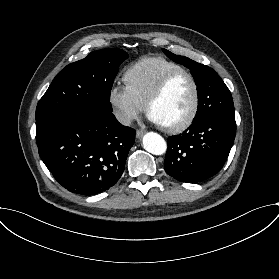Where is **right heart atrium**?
Returning <instances> with one entry per match:
<instances>
[{"label":"right heart atrium","mask_w":279,"mask_h":279,"mask_svg":"<svg viewBox=\"0 0 279 279\" xmlns=\"http://www.w3.org/2000/svg\"><path fill=\"white\" fill-rule=\"evenodd\" d=\"M108 101L115 109L116 119L123 125H128L146 110V102L127 84H113L108 92Z\"/></svg>","instance_id":"d8ad5b80"}]
</instances>
